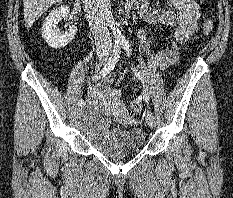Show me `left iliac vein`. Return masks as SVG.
Returning a JSON list of instances; mask_svg holds the SVG:
<instances>
[{"instance_id": "4c4485c4", "label": "left iliac vein", "mask_w": 233, "mask_h": 198, "mask_svg": "<svg viewBox=\"0 0 233 198\" xmlns=\"http://www.w3.org/2000/svg\"><path fill=\"white\" fill-rule=\"evenodd\" d=\"M146 123L149 127L153 128L155 126V120L153 116L147 115L146 117Z\"/></svg>"}]
</instances>
